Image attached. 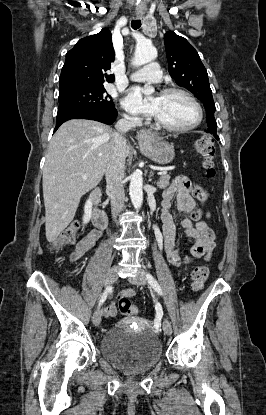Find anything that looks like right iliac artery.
Wrapping results in <instances>:
<instances>
[{
	"instance_id": "1",
	"label": "right iliac artery",
	"mask_w": 266,
	"mask_h": 415,
	"mask_svg": "<svg viewBox=\"0 0 266 415\" xmlns=\"http://www.w3.org/2000/svg\"><path fill=\"white\" fill-rule=\"evenodd\" d=\"M111 291H112V287H111V286H108V287L105 289V291H104V293H103V295L101 296V299H100V301H99V306H100V305H102V304L104 303V301L106 300V298H107L108 294H109Z\"/></svg>"
}]
</instances>
